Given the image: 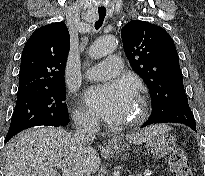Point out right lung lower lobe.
<instances>
[{
  "label": "right lung lower lobe",
  "instance_id": "98d812e1",
  "mask_svg": "<svg viewBox=\"0 0 205 176\" xmlns=\"http://www.w3.org/2000/svg\"><path fill=\"white\" fill-rule=\"evenodd\" d=\"M68 124V123H67ZM65 124V125H67ZM44 126H55V127H59V126H64V125H61V124H56V123H50V124H46ZM6 142V141H5ZM8 142V141H7Z\"/></svg>",
  "mask_w": 205,
  "mask_h": 176
}]
</instances>
